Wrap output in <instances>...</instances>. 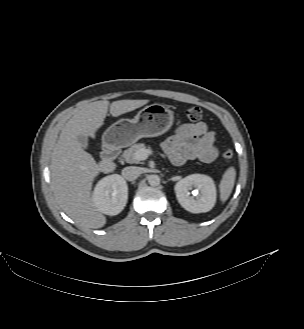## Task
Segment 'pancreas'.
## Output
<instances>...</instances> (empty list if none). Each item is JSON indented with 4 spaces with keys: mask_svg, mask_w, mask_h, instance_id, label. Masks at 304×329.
Instances as JSON below:
<instances>
[{
    "mask_svg": "<svg viewBox=\"0 0 304 329\" xmlns=\"http://www.w3.org/2000/svg\"><path fill=\"white\" fill-rule=\"evenodd\" d=\"M142 148H147L145 144L143 143H137L132 145L130 148L125 150L122 154V158L127 162V163H139L138 160L135 159L134 154L136 151Z\"/></svg>",
    "mask_w": 304,
    "mask_h": 329,
    "instance_id": "cf45deb5",
    "label": "pancreas"
}]
</instances>
